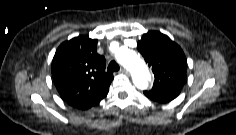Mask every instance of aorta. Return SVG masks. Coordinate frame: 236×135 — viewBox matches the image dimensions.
Returning <instances> with one entry per match:
<instances>
[{"instance_id":"762f6f07","label":"aorta","mask_w":236,"mask_h":135,"mask_svg":"<svg viewBox=\"0 0 236 135\" xmlns=\"http://www.w3.org/2000/svg\"><path fill=\"white\" fill-rule=\"evenodd\" d=\"M116 59L130 71L133 83L138 89L144 90L148 87L151 75L139 55L130 49L121 48L116 53Z\"/></svg>"}]
</instances>
